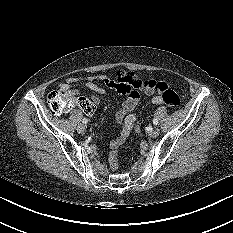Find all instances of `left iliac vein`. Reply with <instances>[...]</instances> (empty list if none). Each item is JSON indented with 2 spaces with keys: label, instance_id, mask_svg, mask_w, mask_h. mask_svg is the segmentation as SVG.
I'll use <instances>...</instances> for the list:
<instances>
[{
  "label": "left iliac vein",
  "instance_id": "left-iliac-vein-1",
  "mask_svg": "<svg viewBox=\"0 0 233 233\" xmlns=\"http://www.w3.org/2000/svg\"><path fill=\"white\" fill-rule=\"evenodd\" d=\"M159 135V128L155 127L153 130L149 132V136L152 138H156Z\"/></svg>",
  "mask_w": 233,
  "mask_h": 233
}]
</instances>
